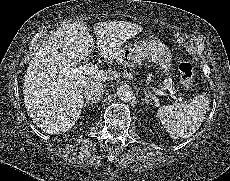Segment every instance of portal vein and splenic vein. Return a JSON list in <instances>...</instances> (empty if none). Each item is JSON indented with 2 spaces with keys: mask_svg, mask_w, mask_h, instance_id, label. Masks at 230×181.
<instances>
[{
  "mask_svg": "<svg viewBox=\"0 0 230 181\" xmlns=\"http://www.w3.org/2000/svg\"><path fill=\"white\" fill-rule=\"evenodd\" d=\"M97 69H98V67H97V65H91V66H89V65H83V66H80L79 68H78V72L79 73H84V74H87V75H89V74H91V73H93V72H96L97 71ZM171 93L173 92V91H170ZM161 95H164V93L163 92H159Z\"/></svg>",
  "mask_w": 230,
  "mask_h": 181,
  "instance_id": "18ae733b",
  "label": "portal vein and splenic vein"
}]
</instances>
